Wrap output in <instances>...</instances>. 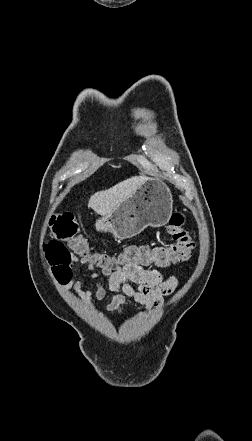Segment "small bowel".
<instances>
[{"instance_id":"obj_1","label":"small bowel","mask_w":252,"mask_h":441,"mask_svg":"<svg viewBox=\"0 0 252 441\" xmlns=\"http://www.w3.org/2000/svg\"><path fill=\"white\" fill-rule=\"evenodd\" d=\"M74 264L86 265L90 271H93L96 267V264L89 258L73 256L70 273L65 279L61 280L64 287H73L78 295L86 301L93 297L101 300L108 291L115 293L111 302L107 305V310L113 313H125L127 298L144 305L147 309L158 307L162 304L164 297L174 292L178 284L176 276L165 279L158 270L129 265L119 267L116 270L108 267L102 268L105 283L98 274L92 273L93 288L83 290L81 282L73 280Z\"/></svg>"}]
</instances>
